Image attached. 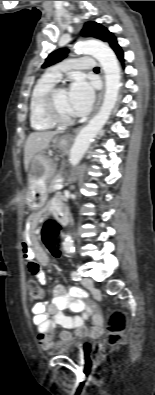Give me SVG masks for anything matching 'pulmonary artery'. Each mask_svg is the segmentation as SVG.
Segmentation results:
<instances>
[{"label": "pulmonary artery", "instance_id": "pulmonary-artery-1", "mask_svg": "<svg viewBox=\"0 0 155 395\" xmlns=\"http://www.w3.org/2000/svg\"><path fill=\"white\" fill-rule=\"evenodd\" d=\"M95 66V61L89 56L78 57L66 60L50 68L48 75L54 80L58 81L62 77V73L67 70H92Z\"/></svg>", "mask_w": 155, "mask_h": 395}]
</instances>
